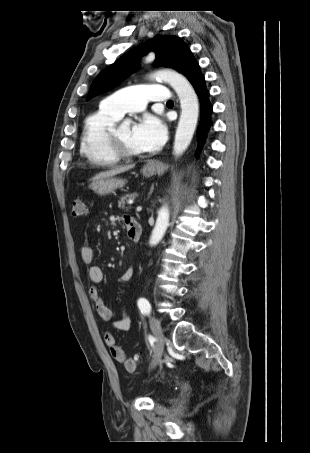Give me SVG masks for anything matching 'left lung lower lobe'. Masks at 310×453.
<instances>
[{"instance_id":"obj_1","label":"left lung lower lobe","mask_w":310,"mask_h":453,"mask_svg":"<svg viewBox=\"0 0 310 453\" xmlns=\"http://www.w3.org/2000/svg\"><path fill=\"white\" fill-rule=\"evenodd\" d=\"M181 73L191 82L200 99L201 104V121L198 129L199 144L195 151V157H198L201 147L205 142L206 134L210 127V115L212 106L208 100V91L205 88L204 76L200 71V67L194 57L191 55L186 61Z\"/></svg>"}]
</instances>
